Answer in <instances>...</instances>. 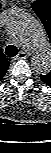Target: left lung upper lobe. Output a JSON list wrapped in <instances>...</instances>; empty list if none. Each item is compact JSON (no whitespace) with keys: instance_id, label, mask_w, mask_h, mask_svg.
<instances>
[{"instance_id":"left-lung-upper-lobe-1","label":"left lung upper lobe","mask_w":51,"mask_h":153,"mask_svg":"<svg viewBox=\"0 0 51 153\" xmlns=\"http://www.w3.org/2000/svg\"><path fill=\"white\" fill-rule=\"evenodd\" d=\"M31 6L42 21L51 41V0H36ZM40 78L46 85L51 86V71L46 75H40Z\"/></svg>"}]
</instances>
